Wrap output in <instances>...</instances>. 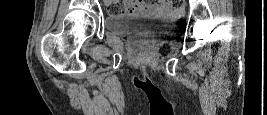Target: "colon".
Segmentation results:
<instances>
[{
  "instance_id": "5ec220e1",
  "label": "colon",
  "mask_w": 267,
  "mask_h": 115,
  "mask_svg": "<svg viewBox=\"0 0 267 115\" xmlns=\"http://www.w3.org/2000/svg\"><path fill=\"white\" fill-rule=\"evenodd\" d=\"M169 3L174 7H181L184 0H169ZM128 11V7L122 3H112L108 6L107 12L109 15H120Z\"/></svg>"
}]
</instances>
